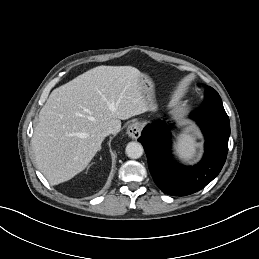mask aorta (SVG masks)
I'll use <instances>...</instances> for the list:
<instances>
[{
	"label": "aorta",
	"mask_w": 259,
	"mask_h": 259,
	"mask_svg": "<svg viewBox=\"0 0 259 259\" xmlns=\"http://www.w3.org/2000/svg\"><path fill=\"white\" fill-rule=\"evenodd\" d=\"M143 146L139 142H129L126 146L125 152L129 158L138 159L143 154Z\"/></svg>",
	"instance_id": "obj_1"
}]
</instances>
